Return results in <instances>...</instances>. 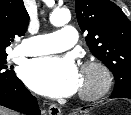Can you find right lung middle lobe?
I'll list each match as a JSON object with an SVG mask.
<instances>
[{
	"instance_id": "dd1d6c3e",
	"label": "right lung middle lobe",
	"mask_w": 131,
	"mask_h": 115,
	"mask_svg": "<svg viewBox=\"0 0 131 115\" xmlns=\"http://www.w3.org/2000/svg\"><path fill=\"white\" fill-rule=\"evenodd\" d=\"M6 57L7 54H0V82L9 81L16 77L15 72L13 70H9L6 65Z\"/></svg>"
}]
</instances>
